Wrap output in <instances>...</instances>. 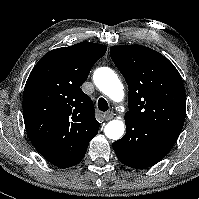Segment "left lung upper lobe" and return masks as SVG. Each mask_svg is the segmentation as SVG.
Here are the masks:
<instances>
[{"mask_svg":"<svg viewBox=\"0 0 199 199\" xmlns=\"http://www.w3.org/2000/svg\"><path fill=\"white\" fill-rule=\"evenodd\" d=\"M110 55L129 88L125 120H135L177 140L186 116V94L175 66L144 46H112Z\"/></svg>","mask_w":199,"mask_h":199,"instance_id":"5c2ea615","label":"left lung upper lobe"}]
</instances>
